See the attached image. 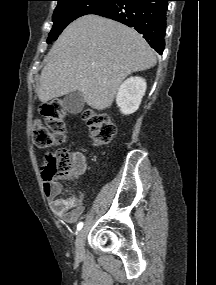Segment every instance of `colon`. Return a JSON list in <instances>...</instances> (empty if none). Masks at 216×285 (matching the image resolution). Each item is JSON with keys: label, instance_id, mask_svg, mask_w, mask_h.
I'll list each match as a JSON object with an SVG mask.
<instances>
[{"label": "colon", "instance_id": "colon-1", "mask_svg": "<svg viewBox=\"0 0 216 285\" xmlns=\"http://www.w3.org/2000/svg\"><path fill=\"white\" fill-rule=\"evenodd\" d=\"M41 115L43 121L37 120L33 125L34 143L41 148L63 143L65 111L62 102L52 100L43 104ZM83 117L96 146H105L114 139L116 127L106 114L88 109L84 111ZM72 167L73 157L69 150L60 148L47 154L44 169L45 181L68 177L72 172Z\"/></svg>", "mask_w": 216, "mask_h": 285}]
</instances>
